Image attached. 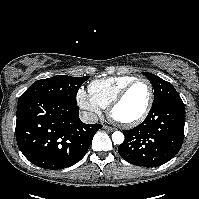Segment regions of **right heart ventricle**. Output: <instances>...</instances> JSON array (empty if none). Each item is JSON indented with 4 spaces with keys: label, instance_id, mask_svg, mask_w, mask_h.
Masks as SVG:
<instances>
[{
    "label": "right heart ventricle",
    "instance_id": "right-heart-ventricle-1",
    "mask_svg": "<svg viewBox=\"0 0 199 199\" xmlns=\"http://www.w3.org/2000/svg\"><path fill=\"white\" fill-rule=\"evenodd\" d=\"M133 79L132 76H118L95 80L89 84L88 93L100 107L106 108Z\"/></svg>",
    "mask_w": 199,
    "mask_h": 199
}]
</instances>
